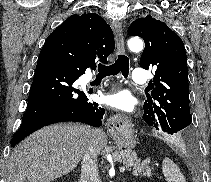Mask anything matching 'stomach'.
<instances>
[{"instance_id": "stomach-1", "label": "stomach", "mask_w": 211, "mask_h": 182, "mask_svg": "<svg viewBox=\"0 0 211 182\" xmlns=\"http://www.w3.org/2000/svg\"><path fill=\"white\" fill-rule=\"evenodd\" d=\"M111 135L116 142V144L120 148H125L127 150H131L135 147L136 144V138L134 136V133L131 129L128 128H119V129H113L111 131Z\"/></svg>"}]
</instances>
